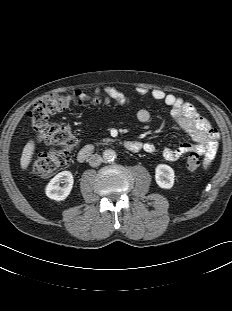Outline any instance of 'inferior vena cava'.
I'll list each match as a JSON object with an SVG mask.
<instances>
[{"instance_id":"obj_1","label":"inferior vena cava","mask_w":232,"mask_h":311,"mask_svg":"<svg viewBox=\"0 0 232 311\" xmlns=\"http://www.w3.org/2000/svg\"><path fill=\"white\" fill-rule=\"evenodd\" d=\"M102 157L98 154L91 155L89 158V165L92 167H97L101 164Z\"/></svg>"}]
</instances>
